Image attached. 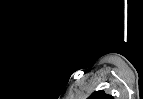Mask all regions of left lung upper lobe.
<instances>
[{"label": "left lung upper lobe", "mask_w": 143, "mask_h": 99, "mask_svg": "<svg viewBox=\"0 0 143 99\" xmlns=\"http://www.w3.org/2000/svg\"><path fill=\"white\" fill-rule=\"evenodd\" d=\"M88 99H113L111 95L106 94L103 90L95 91Z\"/></svg>", "instance_id": "1"}]
</instances>
